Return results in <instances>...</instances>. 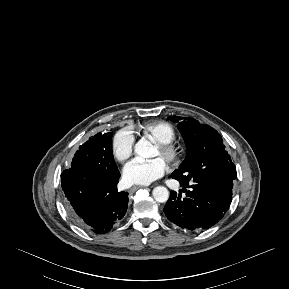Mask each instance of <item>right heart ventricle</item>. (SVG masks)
Listing matches in <instances>:
<instances>
[{
    "label": "right heart ventricle",
    "mask_w": 289,
    "mask_h": 289,
    "mask_svg": "<svg viewBox=\"0 0 289 289\" xmlns=\"http://www.w3.org/2000/svg\"><path fill=\"white\" fill-rule=\"evenodd\" d=\"M136 133L147 137L154 143L172 142L176 138L174 128L164 121H151L136 128Z\"/></svg>",
    "instance_id": "obj_1"
}]
</instances>
